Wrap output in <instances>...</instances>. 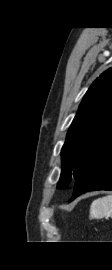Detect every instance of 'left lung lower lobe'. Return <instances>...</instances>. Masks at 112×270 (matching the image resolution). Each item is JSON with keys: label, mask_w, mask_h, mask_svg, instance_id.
Instances as JSON below:
<instances>
[{"label": "left lung lower lobe", "mask_w": 112, "mask_h": 270, "mask_svg": "<svg viewBox=\"0 0 112 270\" xmlns=\"http://www.w3.org/2000/svg\"><path fill=\"white\" fill-rule=\"evenodd\" d=\"M92 190H112V148L76 181L70 201Z\"/></svg>", "instance_id": "left-lung-lower-lobe-1"}]
</instances>
